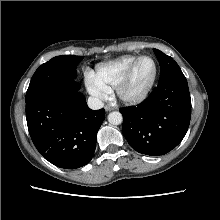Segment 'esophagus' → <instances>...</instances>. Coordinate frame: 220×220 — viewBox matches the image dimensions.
<instances>
[{"mask_svg":"<svg viewBox=\"0 0 220 220\" xmlns=\"http://www.w3.org/2000/svg\"><path fill=\"white\" fill-rule=\"evenodd\" d=\"M114 109H115V107H112V106H110V105H106V106H105V110H106L107 112L112 111V110H114Z\"/></svg>","mask_w":220,"mask_h":220,"instance_id":"34e87169","label":"esophagus"}]
</instances>
